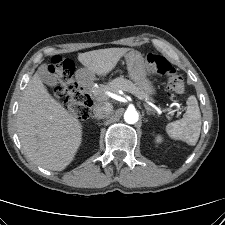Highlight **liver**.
Here are the masks:
<instances>
[{
	"mask_svg": "<svg viewBox=\"0 0 225 225\" xmlns=\"http://www.w3.org/2000/svg\"><path fill=\"white\" fill-rule=\"evenodd\" d=\"M131 49L107 48L78 55L91 74L105 76ZM22 148L36 165L61 171L74 159L82 142V125L47 91L38 73L29 81L17 114Z\"/></svg>",
	"mask_w": 225,
	"mask_h": 225,
	"instance_id": "1",
	"label": "liver"
}]
</instances>
